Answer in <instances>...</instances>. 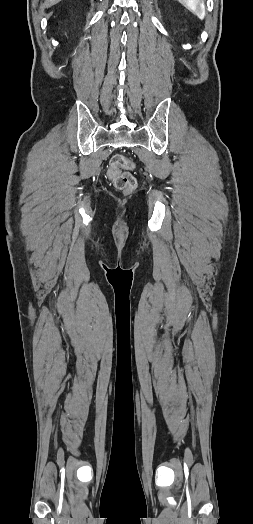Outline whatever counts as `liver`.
I'll list each match as a JSON object with an SVG mask.
<instances>
[{
  "label": "liver",
  "mask_w": 253,
  "mask_h": 524,
  "mask_svg": "<svg viewBox=\"0 0 253 524\" xmlns=\"http://www.w3.org/2000/svg\"><path fill=\"white\" fill-rule=\"evenodd\" d=\"M61 0H45V7H51L57 3H59Z\"/></svg>",
  "instance_id": "6515ba94"
}]
</instances>
